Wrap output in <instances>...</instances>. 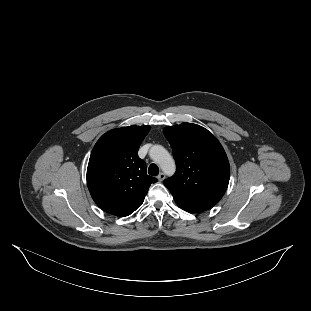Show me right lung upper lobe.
I'll list each match as a JSON object with an SVG mask.
<instances>
[{
  "instance_id": "1",
  "label": "right lung upper lobe",
  "mask_w": 311,
  "mask_h": 311,
  "mask_svg": "<svg viewBox=\"0 0 311 311\" xmlns=\"http://www.w3.org/2000/svg\"><path fill=\"white\" fill-rule=\"evenodd\" d=\"M150 126L113 129L95 144L87 168V185L95 203L105 212L124 217L143 203L157 179L147 175L138 149Z\"/></svg>"
}]
</instances>
